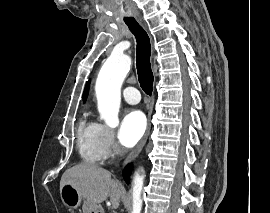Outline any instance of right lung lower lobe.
Wrapping results in <instances>:
<instances>
[{
    "mask_svg": "<svg viewBox=\"0 0 270 213\" xmlns=\"http://www.w3.org/2000/svg\"><path fill=\"white\" fill-rule=\"evenodd\" d=\"M131 166L128 165L126 169L124 170V178L128 182L129 181V175H130Z\"/></svg>",
    "mask_w": 270,
    "mask_h": 213,
    "instance_id": "right-lung-lower-lobe-1",
    "label": "right lung lower lobe"
}]
</instances>
